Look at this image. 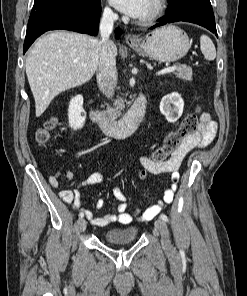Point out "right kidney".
Listing matches in <instances>:
<instances>
[{"label":"right kidney","mask_w":247,"mask_h":296,"mask_svg":"<svg viewBox=\"0 0 247 296\" xmlns=\"http://www.w3.org/2000/svg\"><path fill=\"white\" fill-rule=\"evenodd\" d=\"M69 125L74 130L81 129L86 120V112L83 109V97L77 95L70 101L68 109Z\"/></svg>","instance_id":"ca27d5eb"}]
</instances>
